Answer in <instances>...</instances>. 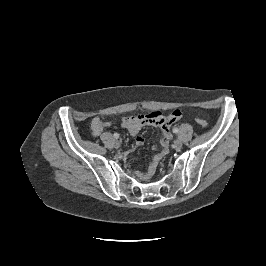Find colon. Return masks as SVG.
<instances>
[{
    "label": "colon",
    "instance_id": "5ec220e1",
    "mask_svg": "<svg viewBox=\"0 0 266 266\" xmlns=\"http://www.w3.org/2000/svg\"><path fill=\"white\" fill-rule=\"evenodd\" d=\"M195 122L201 127H206L207 126V121L202 119V118H196Z\"/></svg>",
    "mask_w": 266,
    "mask_h": 266
}]
</instances>
